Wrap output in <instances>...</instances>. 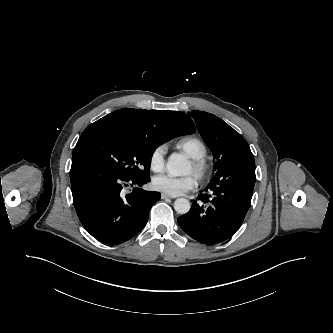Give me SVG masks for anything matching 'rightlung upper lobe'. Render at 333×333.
<instances>
[{
  "mask_svg": "<svg viewBox=\"0 0 333 333\" xmlns=\"http://www.w3.org/2000/svg\"><path fill=\"white\" fill-rule=\"evenodd\" d=\"M94 130H123L161 145L176 136L194 133L195 125L183 112L124 108L94 122L85 132Z\"/></svg>",
  "mask_w": 333,
  "mask_h": 333,
  "instance_id": "right-lung-upper-lobe-1",
  "label": "right lung upper lobe"
}]
</instances>
